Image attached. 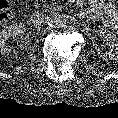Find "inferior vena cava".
Segmentation results:
<instances>
[{
  "label": "inferior vena cava",
  "instance_id": "obj_1",
  "mask_svg": "<svg viewBox=\"0 0 118 118\" xmlns=\"http://www.w3.org/2000/svg\"><path fill=\"white\" fill-rule=\"evenodd\" d=\"M46 18L44 16H41V17H39L37 19H34V24L36 26H39V25H41L45 21Z\"/></svg>",
  "mask_w": 118,
  "mask_h": 118
}]
</instances>
